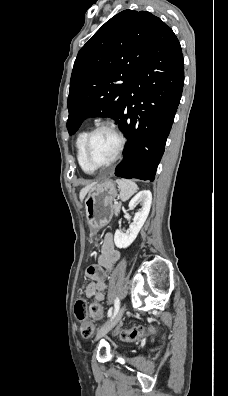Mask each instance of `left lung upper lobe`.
<instances>
[{"label": "left lung upper lobe", "mask_w": 228, "mask_h": 396, "mask_svg": "<svg viewBox=\"0 0 228 396\" xmlns=\"http://www.w3.org/2000/svg\"><path fill=\"white\" fill-rule=\"evenodd\" d=\"M168 27L147 11L124 10L108 20L80 49L68 96L70 135L89 116L119 121L130 85L161 28Z\"/></svg>", "instance_id": "5c2ea615"}]
</instances>
